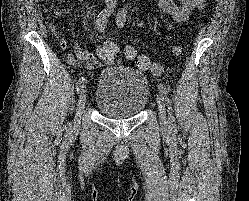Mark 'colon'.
<instances>
[{
    "label": "colon",
    "instance_id": "colon-1",
    "mask_svg": "<svg viewBox=\"0 0 249 201\" xmlns=\"http://www.w3.org/2000/svg\"><path fill=\"white\" fill-rule=\"evenodd\" d=\"M183 52L181 45L177 44L171 48V53L174 56H180ZM98 56L101 60L108 64H112L118 59V48L112 43H104L98 49ZM126 57L134 61L135 65L142 70L158 75L161 72L159 64L153 63L145 54L138 53L133 48L126 50Z\"/></svg>",
    "mask_w": 249,
    "mask_h": 201
}]
</instances>
